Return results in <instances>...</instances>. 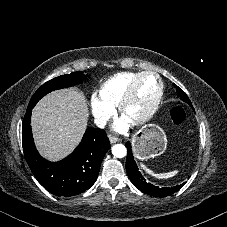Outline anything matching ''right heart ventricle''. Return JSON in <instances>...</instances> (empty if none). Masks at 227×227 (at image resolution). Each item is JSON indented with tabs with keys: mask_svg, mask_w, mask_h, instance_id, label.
<instances>
[{
	"mask_svg": "<svg viewBox=\"0 0 227 227\" xmlns=\"http://www.w3.org/2000/svg\"><path fill=\"white\" fill-rule=\"evenodd\" d=\"M139 73L127 71L114 74L96 90L97 98L112 107L116 106L124 96L132 80Z\"/></svg>",
	"mask_w": 227,
	"mask_h": 227,
	"instance_id": "right-heart-ventricle-1",
	"label": "right heart ventricle"
}]
</instances>
